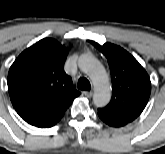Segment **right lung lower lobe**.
Listing matches in <instances>:
<instances>
[{
  "mask_svg": "<svg viewBox=\"0 0 165 154\" xmlns=\"http://www.w3.org/2000/svg\"><path fill=\"white\" fill-rule=\"evenodd\" d=\"M74 99L68 98L60 102L56 106L46 110L25 121L33 126L40 128H48L54 126L64 115L66 109L72 104Z\"/></svg>",
  "mask_w": 165,
  "mask_h": 154,
  "instance_id": "1",
  "label": "right lung lower lobe"
}]
</instances>
